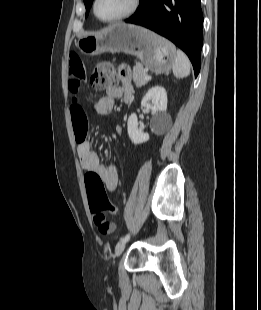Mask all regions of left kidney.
<instances>
[{"label": "left kidney", "instance_id": "5707ae66", "mask_svg": "<svg viewBox=\"0 0 261 310\" xmlns=\"http://www.w3.org/2000/svg\"><path fill=\"white\" fill-rule=\"evenodd\" d=\"M141 106L151 109V131L160 133L165 131L171 121L167 113V93L164 87L154 86L148 90L141 101ZM128 135L134 144H141L149 140V134L143 133L138 127V118L135 113L131 114L127 123Z\"/></svg>", "mask_w": 261, "mask_h": 310}]
</instances>
